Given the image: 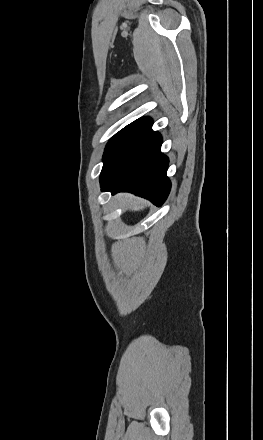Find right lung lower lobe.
<instances>
[{"label": "right lung lower lobe", "mask_w": 263, "mask_h": 440, "mask_svg": "<svg viewBox=\"0 0 263 440\" xmlns=\"http://www.w3.org/2000/svg\"><path fill=\"white\" fill-rule=\"evenodd\" d=\"M161 144V135L150 128L115 170L100 180L101 190L131 192L161 206L171 187L166 175L169 160L161 153Z\"/></svg>", "instance_id": "98d812e1"}]
</instances>
